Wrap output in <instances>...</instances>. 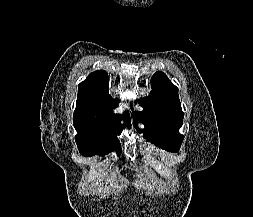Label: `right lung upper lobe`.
<instances>
[{"instance_id": "1", "label": "right lung upper lobe", "mask_w": 253, "mask_h": 217, "mask_svg": "<svg viewBox=\"0 0 253 217\" xmlns=\"http://www.w3.org/2000/svg\"><path fill=\"white\" fill-rule=\"evenodd\" d=\"M109 77L104 70L91 73L87 79L79 84L74 119L118 122L120 114H113L118 100L113 99L108 91ZM123 119L130 123L129 113Z\"/></svg>"}]
</instances>
